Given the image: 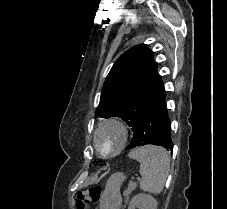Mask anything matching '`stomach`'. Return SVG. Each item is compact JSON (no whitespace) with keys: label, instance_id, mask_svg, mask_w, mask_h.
I'll use <instances>...</instances> for the list:
<instances>
[{"label":"stomach","instance_id":"1","mask_svg":"<svg viewBox=\"0 0 227 209\" xmlns=\"http://www.w3.org/2000/svg\"><path fill=\"white\" fill-rule=\"evenodd\" d=\"M125 180L123 173H115L108 179L100 200V209H120L122 198L120 187Z\"/></svg>","mask_w":227,"mask_h":209}]
</instances>
